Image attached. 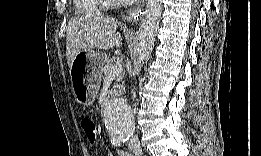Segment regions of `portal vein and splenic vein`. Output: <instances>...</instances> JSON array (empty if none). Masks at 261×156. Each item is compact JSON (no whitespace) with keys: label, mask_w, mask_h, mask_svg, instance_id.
Segmentation results:
<instances>
[{"label":"portal vein and splenic vein","mask_w":261,"mask_h":156,"mask_svg":"<svg viewBox=\"0 0 261 156\" xmlns=\"http://www.w3.org/2000/svg\"><path fill=\"white\" fill-rule=\"evenodd\" d=\"M122 70V65L120 63H116L114 66L111 67L108 76L119 75L122 72Z\"/></svg>","instance_id":"1"}]
</instances>
